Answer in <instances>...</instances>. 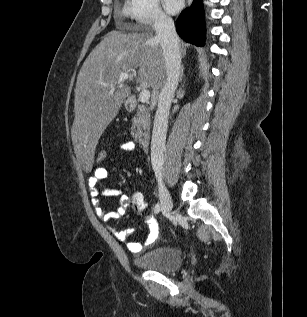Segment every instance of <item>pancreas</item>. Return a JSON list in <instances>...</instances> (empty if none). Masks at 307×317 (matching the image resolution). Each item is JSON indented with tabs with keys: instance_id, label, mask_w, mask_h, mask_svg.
<instances>
[{
	"instance_id": "pancreas-1",
	"label": "pancreas",
	"mask_w": 307,
	"mask_h": 317,
	"mask_svg": "<svg viewBox=\"0 0 307 317\" xmlns=\"http://www.w3.org/2000/svg\"><path fill=\"white\" fill-rule=\"evenodd\" d=\"M151 119L149 108L139 105L136 115L132 119L131 135L137 143L143 142V137L150 129Z\"/></svg>"
}]
</instances>
